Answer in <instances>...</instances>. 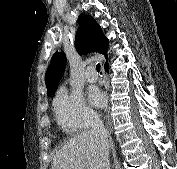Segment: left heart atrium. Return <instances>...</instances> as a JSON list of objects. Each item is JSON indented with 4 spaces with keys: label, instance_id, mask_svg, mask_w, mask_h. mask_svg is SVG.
Segmentation results:
<instances>
[{
    "label": "left heart atrium",
    "instance_id": "39dd6f15",
    "mask_svg": "<svg viewBox=\"0 0 177 169\" xmlns=\"http://www.w3.org/2000/svg\"><path fill=\"white\" fill-rule=\"evenodd\" d=\"M89 100L95 106H100L102 104V95L99 90L92 88L89 91Z\"/></svg>",
    "mask_w": 177,
    "mask_h": 169
}]
</instances>
